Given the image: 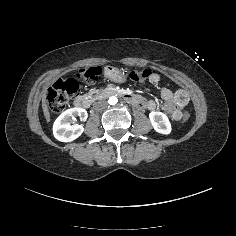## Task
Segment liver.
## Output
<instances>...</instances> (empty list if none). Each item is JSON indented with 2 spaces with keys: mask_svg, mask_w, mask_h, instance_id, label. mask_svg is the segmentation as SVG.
I'll use <instances>...</instances> for the list:
<instances>
[{
  "mask_svg": "<svg viewBox=\"0 0 236 236\" xmlns=\"http://www.w3.org/2000/svg\"><path fill=\"white\" fill-rule=\"evenodd\" d=\"M42 108H43L44 116H45L47 122H49L50 121V113L48 110V106L46 104V95L45 94L43 95V98H42Z\"/></svg>",
  "mask_w": 236,
  "mask_h": 236,
  "instance_id": "1",
  "label": "liver"
}]
</instances>
